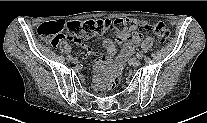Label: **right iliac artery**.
<instances>
[{"label":"right iliac artery","instance_id":"82829eb1","mask_svg":"<svg viewBox=\"0 0 207 123\" xmlns=\"http://www.w3.org/2000/svg\"><path fill=\"white\" fill-rule=\"evenodd\" d=\"M71 59H72V56L71 55H67V60L71 61Z\"/></svg>","mask_w":207,"mask_h":123}]
</instances>
